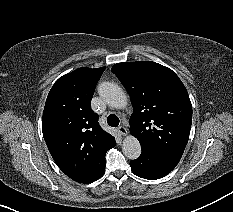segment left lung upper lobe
<instances>
[{
    "mask_svg": "<svg viewBox=\"0 0 233 212\" xmlns=\"http://www.w3.org/2000/svg\"><path fill=\"white\" fill-rule=\"evenodd\" d=\"M111 71L130 95V133L141 148L180 160L189 138L192 106L179 77L151 61L117 63Z\"/></svg>",
    "mask_w": 233,
    "mask_h": 212,
    "instance_id": "left-lung-upper-lobe-1",
    "label": "left lung upper lobe"
}]
</instances>
